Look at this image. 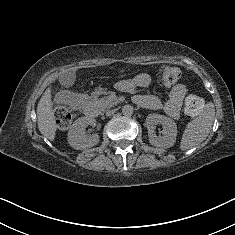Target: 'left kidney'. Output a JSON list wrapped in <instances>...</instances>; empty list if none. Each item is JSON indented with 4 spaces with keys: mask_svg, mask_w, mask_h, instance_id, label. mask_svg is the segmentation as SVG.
<instances>
[{
    "mask_svg": "<svg viewBox=\"0 0 235 235\" xmlns=\"http://www.w3.org/2000/svg\"><path fill=\"white\" fill-rule=\"evenodd\" d=\"M156 125H162V135L157 136L155 134L154 128ZM145 126L148 129L149 142L154 147L167 149L175 144L177 125L173 119L160 114H149L146 118Z\"/></svg>",
    "mask_w": 235,
    "mask_h": 235,
    "instance_id": "left-kidney-1",
    "label": "left kidney"
}]
</instances>
